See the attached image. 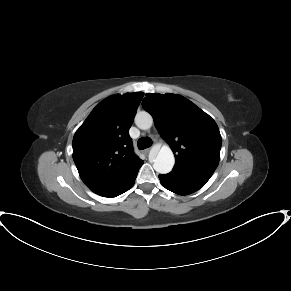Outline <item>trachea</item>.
<instances>
[{
  "label": "trachea",
  "instance_id": "3493384b",
  "mask_svg": "<svg viewBox=\"0 0 291 291\" xmlns=\"http://www.w3.org/2000/svg\"><path fill=\"white\" fill-rule=\"evenodd\" d=\"M152 145V140L149 137H142L138 140L137 146L139 150H143L145 148H148Z\"/></svg>",
  "mask_w": 291,
  "mask_h": 291
}]
</instances>
